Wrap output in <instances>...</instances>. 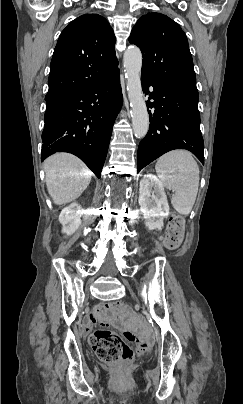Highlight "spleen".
Segmentation results:
<instances>
[{"label":"spleen","instance_id":"spleen-1","mask_svg":"<svg viewBox=\"0 0 243 404\" xmlns=\"http://www.w3.org/2000/svg\"><path fill=\"white\" fill-rule=\"evenodd\" d=\"M156 174L167 190H173L171 204L182 216L190 214L199 188V168L187 150H173L156 162Z\"/></svg>","mask_w":243,"mask_h":404}]
</instances>
